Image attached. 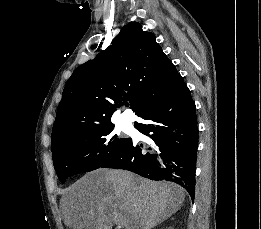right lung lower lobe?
<instances>
[{
	"label": "right lung lower lobe",
	"mask_w": 261,
	"mask_h": 229,
	"mask_svg": "<svg viewBox=\"0 0 261 229\" xmlns=\"http://www.w3.org/2000/svg\"><path fill=\"white\" fill-rule=\"evenodd\" d=\"M139 117L135 128L152 139L130 144L101 168L125 169L151 180L182 186L194 199L198 148L196 106L182 77Z\"/></svg>",
	"instance_id": "98d812e1"
}]
</instances>
